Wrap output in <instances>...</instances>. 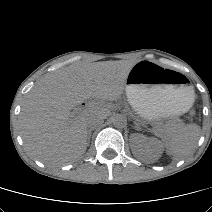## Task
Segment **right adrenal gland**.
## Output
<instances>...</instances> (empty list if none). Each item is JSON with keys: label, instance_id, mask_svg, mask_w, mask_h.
<instances>
[{"label": "right adrenal gland", "instance_id": "1", "mask_svg": "<svg viewBox=\"0 0 212 212\" xmlns=\"http://www.w3.org/2000/svg\"><path fill=\"white\" fill-rule=\"evenodd\" d=\"M91 133H92V129H89L88 130V133H87V140H88V142H90Z\"/></svg>", "mask_w": 212, "mask_h": 212}]
</instances>
